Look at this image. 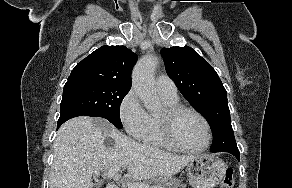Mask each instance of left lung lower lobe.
I'll return each instance as SVG.
<instances>
[{"mask_svg":"<svg viewBox=\"0 0 292 188\" xmlns=\"http://www.w3.org/2000/svg\"><path fill=\"white\" fill-rule=\"evenodd\" d=\"M223 151L228 152V153L234 155L238 159V161L240 160V152H239V150H238L237 147L224 149Z\"/></svg>","mask_w":292,"mask_h":188,"instance_id":"obj_1","label":"left lung lower lobe"}]
</instances>
